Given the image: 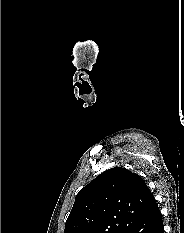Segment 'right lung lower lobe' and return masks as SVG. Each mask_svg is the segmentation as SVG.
<instances>
[{
  "label": "right lung lower lobe",
  "mask_w": 184,
  "mask_h": 233,
  "mask_svg": "<svg viewBox=\"0 0 184 233\" xmlns=\"http://www.w3.org/2000/svg\"><path fill=\"white\" fill-rule=\"evenodd\" d=\"M127 233H164L162 215L158 205L132 226Z\"/></svg>",
  "instance_id": "obj_1"
}]
</instances>
